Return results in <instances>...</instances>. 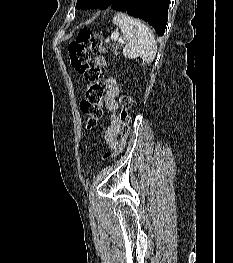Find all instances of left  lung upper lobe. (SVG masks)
Masks as SVG:
<instances>
[{
  "label": "left lung upper lobe",
  "mask_w": 233,
  "mask_h": 263,
  "mask_svg": "<svg viewBox=\"0 0 233 263\" xmlns=\"http://www.w3.org/2000/svg\"><path fill=\"white\" fill-rule=\"evenodd\" d=\"M115 0H78L77 8L95 7L106 9L112 5Z\"/></svg>",
  "instance_id": "left-lung-upper-lobe-1"
}]
</instances>
